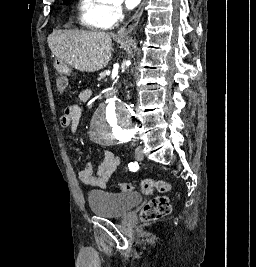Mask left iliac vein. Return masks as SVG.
<instances>
[{"label":"left iliac vein","mask_w":256,"mask_h":267,"mask_svg":"<svg viewBox=\"0 0 256 267\" xmlns=\"http://www.w3.org/2000/svg\"><path fill=\"white\" fill-rule=\"evenodd\" d=\"M135 158H136V160H138V161L143 160L144 155H143V152H142L141 147H137V148L135 149Z\"/></svg>","instance_id":"obj_1"}]
</instances>
